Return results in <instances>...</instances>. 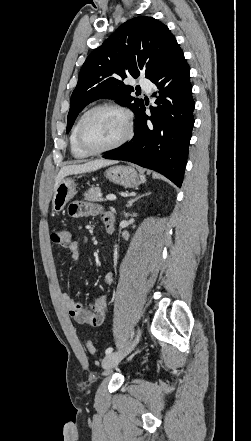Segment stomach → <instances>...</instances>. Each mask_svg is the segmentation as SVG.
<instances>
[{
	"label": "stomach",
	"instance_id": "stomach-1",
	"mask_svg": "<svg viewBox=\"0 0 251 441\" xmlns=\"http://www.w3.org/2000/svg\"><path fill=\"white\" fill-rule=\"evenodd\" d=\"M106 177L113 183L125 188H134L140 184L138 173L130 166H113L106 170ZM76 183L73 178H64L54 190L52 209L60 212L76 194Z\"/></svg>",
	"mask_w": 251,
	"mask_h": 441
}]
</instances>
